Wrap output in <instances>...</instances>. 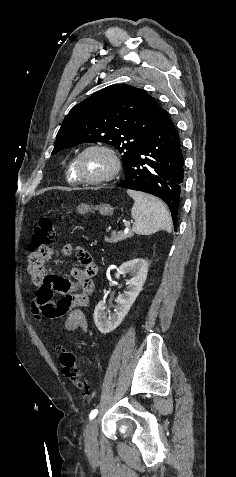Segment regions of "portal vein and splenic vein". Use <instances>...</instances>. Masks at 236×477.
Here are the masks:
<instances>
[{"label": "portal vein and splenic vein", "mask_w": 236, "mask_h": 477, "mask_svg": "<svg viewBox=\"0 0 236 477\" xmlns=\"http://www.w3.org/2000/svg\"><path fill=\"white\" fill-rule=\"evenodd\" d=\"M125 231L127 232L128 231V227L130 226V223L128 221L125 222Z\"/></svg>", "instance_id": "obj_1"}]
</instances>
